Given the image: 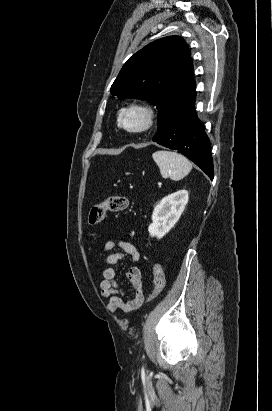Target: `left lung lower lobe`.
Masks as SVG:
<instances>
[{
	"instance_id": "1",
	"label": "left lung lower lobe",
	"mask_w": 272,
	"mask_h": 411,
	"mask_svg": "<svg viewBox=\"0 0 272 411\" xmlns=\"http://www.w3.org/2000/svg\"><path fill=\"white\" fill-rule=\"evenodd\" d=\"M195 97L196 95L170 117L152 141L182 153L212 180L214 170L210 140L203 123L197 117Z\"/></svg>"
}]
</instances>
